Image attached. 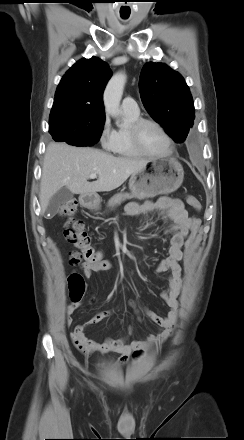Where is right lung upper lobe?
<instances>
[{
  "label": "right lung upper lobe",
  "instance_id": "1",
  "mask_svg": "<svg viewBox=\"0 0 244 440\" xmlns=\"http://www.w3.org/2000/svg\"><path fill=\"white\" fill-rule=\"evenodd\" d=\"M111 75L109 65L96 57L78 61L58 85L49 120L104 122L103 91Z\"/></svg>",
  "mask_w": 244,
  "mask_h": 440
}]
</instances>
